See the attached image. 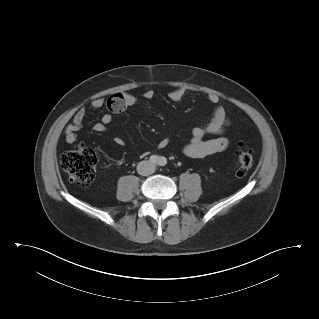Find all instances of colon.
<instances>
[{"label": "colon", "instance_id": "obj_1", "mask_svg": "<svg viewBox=\"0 0 319 319\" xmlns=\"http://www.w3.org/2000/svg\"><path fill=\"white\" fill-rule=\"evenodd\" d=\"M120 95L110 98V107L113 110H121L115 107V101ZM97 153L89 146L79 145L75 149L65 152L60 156V165L68 173L70 179L82 186H89L96 173ZM254 157L252 149L244 144L238 146L236 150V174L244 176L253 166Z\"/></svg>", "mask_w": 319, "mask_h": 319}]
</instances>
